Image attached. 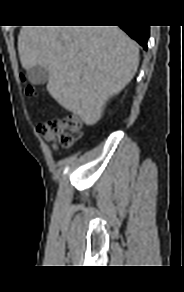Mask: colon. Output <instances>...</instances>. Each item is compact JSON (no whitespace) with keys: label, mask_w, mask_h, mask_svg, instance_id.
I'll return each mask as SVG.
<instances>
[{"label":"colon","mask_w":184,"mask_h":292,"mask_svg":"<svg viewBox=\"0 0 184 292\" xmlns=\"http://www.w3.org/2000/svg\"><path fill=\"white\" fill-rule=\"evenodd\" d=\"M35 92L32 86L26 87L27 94L34 95ZM37 130L45 140L56 142L61 147H70L83 134L82 123L74 115L48 120L40 124Z\"/></svg>","instance_id":"1"}]
</instances>
